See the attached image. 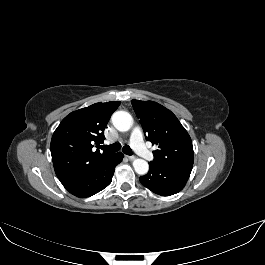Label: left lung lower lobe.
<instances>
[{
	"label": "left lung lower lobe",
	"instance_id": "left-lung-lower-lobe-1",
	"mask_svg": "<svg viewBox=\"0 0 265 265\" xmlns=\"http://www.w3.org/2000/svg\"><path fill=\"white\" fill-rule=\"evenodd\" d=\"M149 166V172L139 180L143 186L162 196H170L181 191L192 170V166H159L151 163Z\"/></svg>",
	"mask_w": 265,
	"mask_h": 265
}]
</instances>
